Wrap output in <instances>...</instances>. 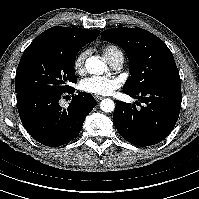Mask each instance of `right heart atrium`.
<instances>
[{
    "instance_id": "right-heart-atrium-1",
    "label": "right heart atrium",
    "mask_w": 199,
    "mask_h": 199,
    "mask_svg": "<svg viewBox=\"0 0 199 199\" xmlns=\"http://www.w3.org/2000/svg\"><path fill=\"white\" fill-rule=\"evenodd\" d=\"M89 54V50H82L76 55L73 61V69L75 73L82 74L85 71V61Z\"/></svg>"
}]
</instances>
